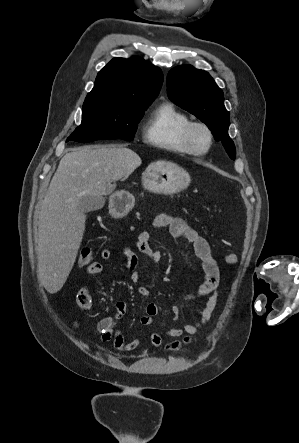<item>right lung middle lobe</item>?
<instances>
[{"instance_id": "1", "label": "right lung middle lobe", "mask_w": 299, "mask_h": 443, "mask_svg": "<svg viewBox=\"0 0 299 443\" xmlns=\"http://www.w3.org/2000/svg\"><path fill=\"white\" fill-rule=\"evenodd\" d=\"M152 102H128L116 99L86 97L82 123L67 138L80 143L96 140L134 138L144 110Z\"/></svg>"}]
</instances>
